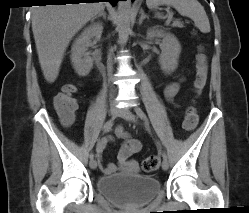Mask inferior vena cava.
<instances>
[{
	"instance_id": "602c4592",
	"label": "inferior vena cava",
	"mask_w": 249,
	"mask_h": 213,
	"mask_svg": "<svg viewBox=\"0 0 249 213\" xmlns=\"http://www.w3.org/2000/svg\"><path fill=\"white\" fill-rule=\"evenodd\" d=\"M107 69H108V73L109 75L112 74V57H111V53H109V56H108V64H107Z\"/></svg>"
}]
</instances>
